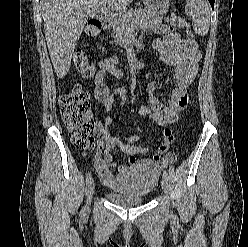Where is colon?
<instances>
[{"mask_svg": "<svg viewBox=\"0 0 248 247\" xmlns=\"http://www.w3.org/2000/svg\"><path fill=\"white\" fill-rule=\"evenodd\" d=\"M100 30L99 23L92 19L85 27V35L93 38L100 33ZM186 36L189 40H193L192 31L187 30ZM73 63L77 72L85 78H92L96 73L95 65L88 61L87 54L83 50L75 52ZM59 103L62 118L73 145L81 149L92 148L94 145V119L88 94L77 85L71 91L63 93Z\"/></svg>", "mask_w": 248, "mask_h": 247, "instance_id": "colon-1", "label": "colon"}]
</instances>
